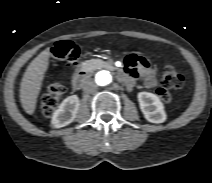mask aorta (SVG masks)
Wrapping results in <instances>:
<instances>
[{
  "label": "aorta",
  "instance_id": "1",
  "mask_svg": "<svg viewBox=\"0 0 212 183\" xmlns=\"http://www.w3.org/2000/svg\"><path fill=\"white\" fill-rule=\"evenodd\" d=\"M113 80L112 74L108 71H100L94 75V82L101 87H107Z\"/></svg>",
  "mask_w": 212,
  "mask_h": 183
}]
</instances>
